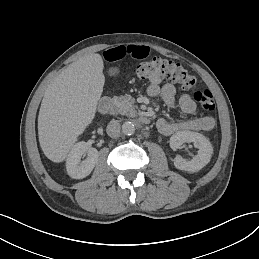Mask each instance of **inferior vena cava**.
Instances as JSON below:
<instances>
[{
  "mask_svg": "<svg viewBox=\"0 0 259 259\" xmlns=\"http://www.w3.org/2000/svg\"><path fill=\"white\" fill-rule=\"evenodd\" d=\"M121 127L119 122L117 121H111L107 125V134L112 138H117L120 136Z\"/></svg>",
  "mask_w": 259,
  "mask_h": 259,
  "instance_id": "602c4592",
  "label": "inferior vena cava"
}]
</instances>
